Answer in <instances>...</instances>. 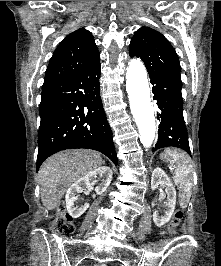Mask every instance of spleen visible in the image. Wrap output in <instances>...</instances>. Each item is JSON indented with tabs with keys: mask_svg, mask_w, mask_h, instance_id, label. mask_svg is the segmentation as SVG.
<instances>
[{
	"mask_svg": "<svg viewBox=\"0 0 221 266\" xmlns=\"http://www.w3.org/2000/svg\"><path fill=\"white\" fill-rule=\"evenodd\" d=\"M175 165V173L173 175L174 183L179 189V196L183 205H186L192 194L193 185V168L190 163L189 156L177 149H166Z\"/></svg>",
	"mask_w": 221,
	"mask_h": 266,
	"instance_id": "spleen-1",
	"label": "spleen"
}]
</instances>
